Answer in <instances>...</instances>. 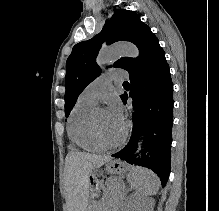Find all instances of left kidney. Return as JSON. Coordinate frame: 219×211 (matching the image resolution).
<instances>
[{
	"mask_svg": "<svg viewBox=\"0 0 219 211\" xmlns=\"http://www.w3.org/2000/svg\"><path fill=\"white\" fill-rule=\"evenodd\" d=\"M140 211H143L142 207H141ZM147 211H152L151 207H147Z\"/></svg>",
	"mask_w": 219,
	"mask_h": 211,
	"instance_id": "left-kidney-1",
	"label": "left kidney"
}]
</instances>
